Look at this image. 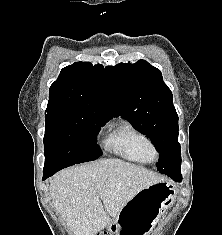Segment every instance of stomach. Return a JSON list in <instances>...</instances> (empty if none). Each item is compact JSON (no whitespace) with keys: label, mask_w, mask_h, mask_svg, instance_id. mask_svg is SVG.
I'll use <instances>...</instances> for the list:
<instances>
[{"label":"stomach","mask_w":222,"mask_h":235,"mask_svg":"<svg viewBox=\"0 0 222 235\" xmlns=\"http://www.w3.org/2000/svg\"><path fill=\"white\" fill-rule=\"evenodd\" d=\"M175 198L176 190L170 182L161 181L144 188L111 221L107 233L149 235Z\"/></svg>","instance_id":"0dacf381"}]
</instances>
